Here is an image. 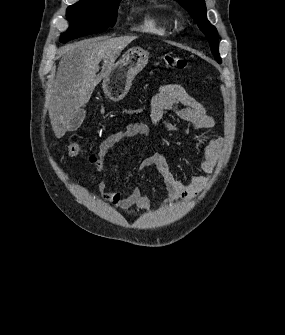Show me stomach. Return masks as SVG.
<instances>
[{
  "label": "stomach",
  "instance_id": "obj_1",
  "mask_svg": "<svg viewBox=\"0 0 285 335\" xmlns=\"http://www.w3.org/2000/svg\"><path fill=\"white\" fill-rule=\"evenodd\" d=\"M148 52L142 48H130L123 54L121 60L110 68L106 74L102 88L109 100H123L130 90L132 80L145 68L148 62Z\"/></svg>",
  "mask_w": 285,
  "mask_h": 335
}]
</instances>
